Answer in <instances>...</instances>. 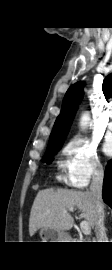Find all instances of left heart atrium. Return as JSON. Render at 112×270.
<instances>
[{"instance_id": "39dd6f15", "label": "left heart atrium", "mask_w": 112, "mask_h": 270, "mask_svg": "<svg viewBox=\"0 0 112 270\" xmlns=\"http://www.w3.org/2000/svg\"><path fill=\"white\" fill-rule=\"evenodd\" d=\"M104 152L107 155H112V140H109L104 145Z\"/></svg>"}]
</instances>
